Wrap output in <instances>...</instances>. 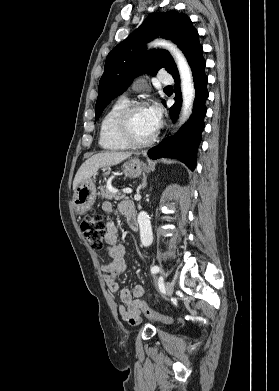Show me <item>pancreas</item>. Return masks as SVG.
<instances>
[{"mask_svg":"<svg viewBox=\"0 0 279 391\" xmlns=\"http://www.w3.org/2000/svg\"><path fill=\"white\" fill-rule=\"evenodd\" d=\"M99 195L102 198H105V199H108V200H112V199L121 200V199H123L125 197L124 194H120V193H117L115 191H112L107 186H102L100 188Z\"/></svg>","mask_w":279,"mask_h":391,"instance_id":"cf45deb5","label":"pancreas"}]
</instances>
